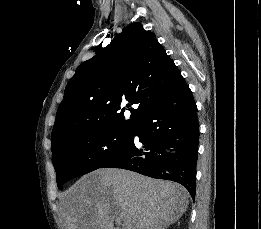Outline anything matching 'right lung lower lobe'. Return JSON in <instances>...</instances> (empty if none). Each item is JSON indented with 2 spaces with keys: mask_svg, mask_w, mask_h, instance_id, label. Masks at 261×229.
Returning a JSON list of instances; mask_svg holds the SVG:
<instances>
[{
  "mask_svg": "<svg viewBox=\"0 0 261 229\" xmlns=\"http://www.w3.org/2000/svg\"><path fill=\"white\" fill-rule=\"evenodd\" d=\"M129 147L101 168H122L183 185L193 200L199 143L197 106L184 78L134 128Z\"/></svg>",
  "mask_w": 261,
  "mask_h": 229,
  "instance_id": "98d812e1",
  "label": "right lung lower lobe"
}]
</instances>
